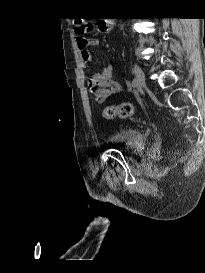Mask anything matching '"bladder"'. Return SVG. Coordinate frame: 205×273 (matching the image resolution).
Wrapping results in <instances>:
<instances>
[{
	"label": "bladder",
	"instance_id": "bladder-1",
	"mask_svg": "<svg viewBox=\"0 0 205 273\" xmlns=\"http://www.w3.org/2000/svg\"><path fill=\"white\" fill-rule=\"evenodd\" d=\"M107 140L116 147L134 153L143 152L147 147V138L145 133L133 128L111 133L107 136Z\"/></svg>",
	"mask_w": 205,
	"mask_h": 273
}]
</instances>
